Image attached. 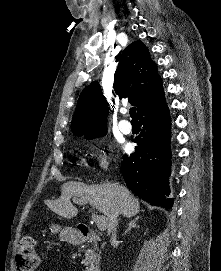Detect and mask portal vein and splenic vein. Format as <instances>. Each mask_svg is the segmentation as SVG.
Here are the masks:
<instances>
[{
    "mask_svg": "<svg viewBox=\"0 0 221 271\" xmlns=\"http://www.w3.org/2000/svg\"><path fill=\"white\" fill-rule=\"evenodd\" d=\"M94 221H96L98 229H100V231H104L107 227L108 217H105V215H96Z\"/></svg>",
    "mask_w": 221,
    "mask_h": 271,
    "instance_id": "1",
    "label": "portal vein and splenic vein"
}]
</instances>
